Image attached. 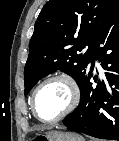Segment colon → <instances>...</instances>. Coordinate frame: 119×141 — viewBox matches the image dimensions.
Listing matches in <instances>:
<instances>
[{
    "instance_id": "1",
    "label": "colon",
    "mask_w": 119,
    "mask_h": 141,
    "mask_svg": "<svg viewBox=\"0 0 119 141\" xmlns=\"http://www.w3.org/2000/svg\"><path fill=\"white\" fill-rule=\"evenodd\" d=\"M34 141H48L47 138H45L44 136H37Z\"/></svg>"
}]
</instances>
